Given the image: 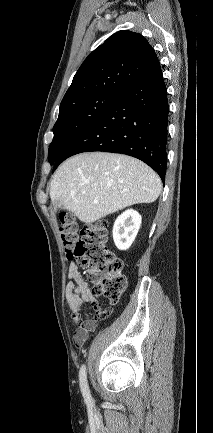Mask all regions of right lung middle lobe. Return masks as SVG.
<instances>
[{"label":"right lung middle lobe","mask_w":213,"mask_h":433,"mask_svg":"<svg viewBox=\"0 0 213 433\" xmlns=\"http://www.w3.org/2000/svg\"><path fill=\"white\" fill-rule=\"evenodd\" d=\"M121 94L102 92L60 106L59 117L53 127V141L48 160L53 164L61 152L86 128L100 118Z\"/></svg>","instance_id":"obj_1"}]
</instances>
